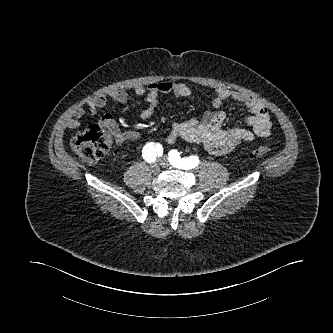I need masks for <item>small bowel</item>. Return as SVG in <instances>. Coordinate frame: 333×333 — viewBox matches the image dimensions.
Masks as SVG:
<instances>
[{
	"mask_svg": "<svg viewBox=\"0 0 333 333\" xmlns=\"http://www.w3.org/2000/svg\"><path fill=\"white\" fill-rule=\"evenodd\" d=\"M136 96L141 97L147 106L141 111L140 118L147 120L151 118L158 105L160 94H172L185 98L191 95L190 87L178 81L164 80L152 82L148 86H136ZM109 98L118 103H124L128 99L125 90L116 89L108 95H98L87 102L90 114H95L98 109H104L108 105ZM234 100L242 104L250 112V116L244 119L249 127L224 129L223 123L226 115L220 110L222 103L226 100ZM84 116V110L78 109L67 121V127L74 129L80 125V119ZM99 123L107 128L113 135L115 142L122 145L129 142H137L141 135L137 131H121L114 119L109 115H103ZM272 123L266 107L257 99L247 94L231 91L225 87L214 90L212 109L203 117L177 122L172 126L166 141L169 144L178 139L202 145L210 154L224 155L244 142L253 141L256 137L266 138L271 134Z\"/></svg>",
	"mask_w": 333,
	"mask_h": 333,
	"instance_id": "small-bowel-1",
	"label": "small bowel"
}]
</instances>
